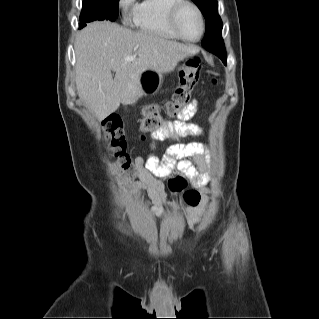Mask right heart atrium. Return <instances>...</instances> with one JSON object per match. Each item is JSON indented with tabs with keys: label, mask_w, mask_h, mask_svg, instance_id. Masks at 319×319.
Here are the masks:
<instances>
[{
	"label": "right heart atrium",
	"mask_w": 319,
	"mask_h": 319,
	"mask_svg": "<svg viewBox=\"0 0 319 319\" xmlns=\"http://www.w3.org/2000/svg\"><path fill=\"white\" fill-rule=\"evenodd\" d=\"M135 0H119L121 8L128 9L134 6Z\"/></svg>",
	"instance_id": "d8ad5b80"
}]
</instances>
